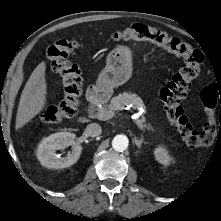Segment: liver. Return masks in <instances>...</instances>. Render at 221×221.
<instances>
[{
	"mask_svg": "<svg viewBox=\"0 0 221 221\" xmlns=\"http://www.w3.org/2000/svg\"><path fill=\"white\" fill-rule=\"evenodd\" d=\"M46 64L41 62L30 75L22 91L15 128L19 129L34 118L44 107L46 103L47 84L45 79ZM80 122H86L87 119L80 117Z\"/></svg>",
	"mask_w": 221,
	"mask_h": 221,
	"instance_id": "obj_1",
	"label": "liver"
}]
</instances>
